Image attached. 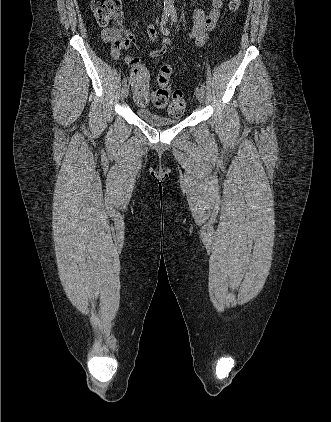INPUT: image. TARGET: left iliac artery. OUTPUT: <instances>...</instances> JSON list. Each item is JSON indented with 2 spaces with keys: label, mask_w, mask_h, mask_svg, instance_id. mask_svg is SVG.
I'll use <instances>...</instances> for the list:
<instances>
[{
  "label": "left iliac artery",
  "mask_w": 331,
  "mask_h": 422,
  "mask_svg": "<svg viewBox=\"0 0 331 422\" xmlns=\"http://www.w3.org/2000/svg\"><path fill=\"white\" fill-rule=\"evenodd\" d=\"M171 19H172V21L173 22H176L177 21V13H176V11H171ZM200 88L204 91L205 90V85L202 83L201 85H200Z\"/></svg>",
  "instance_id": "44dca946"
}]
</instances>
